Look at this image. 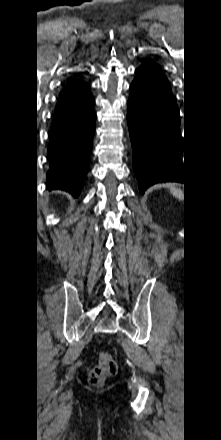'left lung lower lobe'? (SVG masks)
<instances>
[{
	"mask_svg": "<svg viewBox=\"0 0 221 440\" xmlns=\"http://www.w3.org/2000/svg\"><path fill=\"white\" fill-rule=\"evenodd\" d=\"M128 100L133 167L140 191L160 182H185L179 109L161 67L146 61L135 71Z\"/></svg>",
	"mask_w": 221,
	"mask_h": 440,
	"instance_id": "left-lung-lower-lobe-1",
	"label": "left lung lower lobe"
}]
</instances>
